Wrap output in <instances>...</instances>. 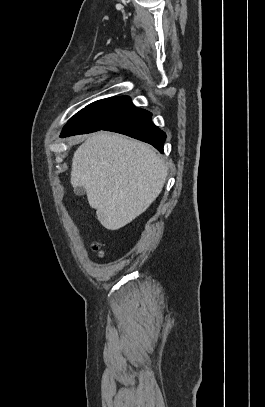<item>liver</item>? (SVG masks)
I'll return each mask as SVG.
<instances>
[{
	"mask_svg": "<svg viewBox=\"0 0 265 407\" xmlns=\"http://www.w3.org/2000/svg\"><path fill=\"white\" fill-rule=\"evenodd\" d=\"M167 175L165 163L150 145L100 131L75 151L71 184L85 188L89 205L106 229L118 230L154 202Z\"/></svg>",
	"mask_w": 265,
	"mask_h": 407,
	"instance_id": "obj_1",
	"label": "liver"
}]
</instances>
